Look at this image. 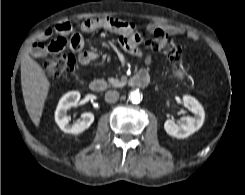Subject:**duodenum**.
Instances as JSON below:
<instances>
[{"instance_id":"410a0bca","label":"duodenum","mask_w":245,"mask_h":195,"mask_svg":"<svg viewBox=\"0 0 245 195\" xmlns=\"http://www.w3.org/2000/svg\"><path fill=\"white\" fill-rule=\"evenodd\" d=\"M149 83H150V78H149V75L145 71L137 72L128 81V84L130 86L138 87V88H145L149 85ZM107 87H108L107 83L101 79H95L89 83V88L93 92H102L106 90Z\"/></svg>"}]
</instances>
